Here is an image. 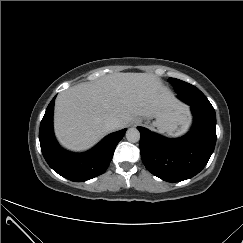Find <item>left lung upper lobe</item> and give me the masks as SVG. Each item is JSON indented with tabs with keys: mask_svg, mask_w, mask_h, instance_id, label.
I'll use <instances>...</instances> for the list:
<instances>
[{
	"mask_svg": "<svg viewBox=\"0 0 243 243\" xmlns=\"http://www.w3.org/2000/svg\"><path fill=\"white\" fill-rule=\"evenodd\" d=\"M169 81L172 84V86L174 87L175 91L186 88L189 85V83H186L184 81H181V80L175 79V78H169ZM205 105L212 106L211 103L208 101V99H206Z\"/></svg>",
	"mask_w": 243,
	"mask_h": 243,
	"instance_id": "5c2ea615",
	"label": "left lung upper lobe"
}]
</instances>
